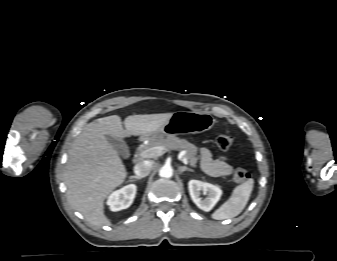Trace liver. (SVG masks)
Here are the masks:
<instances>
[{"label": "liver", "mask_w": 337, "mask_h": 261, "mask_svg": "<svg viewBox=\"0 0 337 261\" xmlns=\"http://www.w3.org/2000/svg\"><path fill=\"white\" fill-rule=\"evenodd\" d=\"M173 113L112 115L87 124L75 139L68 155L64 181L70 205L94 226L110 225L104 214V200L127 177L126 167L106 136L122 140L129 136H150Z\"/></svg>", "instance_id": "liver-1"}]
</instances>
